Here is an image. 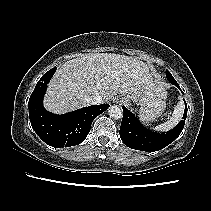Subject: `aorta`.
Segmentation results:
<instances>
[{
	"instance_id": "762f6f07",
	"label": "aorta",
	"mask_w": 211,
	"mask_h": 211,
	"mask_svg": "<svg viewBox=\"0 0 211 211\" xmlns=\"http://www.w3.org/2000/svg\"><path fill=\"white\" fill-rule=\"evenodd\" d=\"M109 116L114 119H120L123 116V110L117 105H112L108 109Z\"/></svg>"
}]
</instances>
